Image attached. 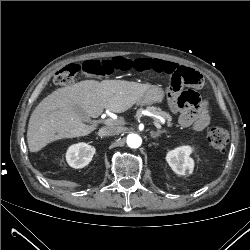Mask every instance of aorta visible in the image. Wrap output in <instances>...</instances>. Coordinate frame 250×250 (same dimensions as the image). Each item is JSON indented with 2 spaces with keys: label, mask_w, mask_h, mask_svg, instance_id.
Here are the masks:
<instances>
[{
  "label": "aorta",
  "mask_w": 250,
  "mask_h": 250,
  "mask_svg": "<svg viewBox=\"0 0 250 250\" xmlns=\"http://www.w3.org/2000/svg\"><path fill=\"white\" fill-rule=\"evenodd\" d=\"M141 143L142 139L139 135L131 133L127 136V145L130 148H138L140 147Z\"/></svg>",
  "instance_id": "aorta-1"
}]
</instances>
